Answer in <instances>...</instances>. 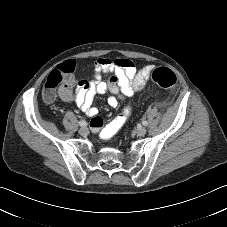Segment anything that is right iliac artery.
<instances>
[{
    "mask_svg": "<svg viewBox=\"0 0 227 227\" xmlns=\"http://www.w3.org/2000/svg\"><path fill=\"white\" fill-rule=\"evenodd\" d=\"M79 125L82 126V127H84V126L87 125V123H86L85 121L82 120V121H79Z\"/></svg>",
    "mask_w": 227,
    "mask_h": 227,
    "instance_id": "1",
    "label": "right iliac artery"
}]
</instances>
